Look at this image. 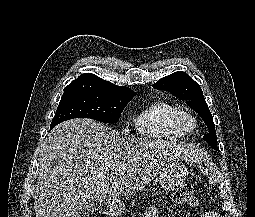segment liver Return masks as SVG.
I'll list each match as a JSON object with an SVG mask.
<instances>
[{
  "instance_id": "obj_1",
  "label": "liver",
  "mask_w": 255,
  "mask_h": 217,
  "mask_svg": "<svg viewBox=\"0 0 255 217\" xmlns=\"http://www.w3.org/2000/svg\"><path fill=\"white\" fill-rule=\"evenodd\" d=\"M201 156L193 145L124 137L91 119L65 121L42 146L33 196L36 217H71L80 200L110 202L132 195L174 161Z\"/></svg>"
}]
</instances>
